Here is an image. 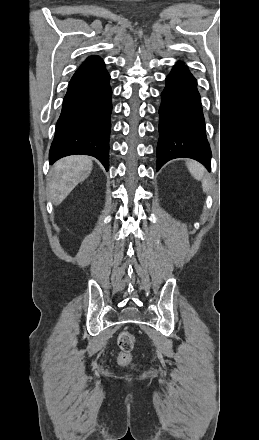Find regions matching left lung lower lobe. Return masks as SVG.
Returning a JSON list of instances; mask_svg holds the SVG:
<instances>
[{"label": "left lung lower lobe", "instance_id": "0a47b994", "mask_svg": "<svg viewBox=\"0 0 259 440\" xmlns=\"http://www.w3.org/2000/svg\"><path fill=\"white\" fill-rule=\"evenodd\" d=\"M196 86L187 66L177 62L161 94L157 171L167 161L180 157L195 159L210 169L211 150Z\"/></svg>", "mask_w": 259, "mask_h": 440}]
</instances>
